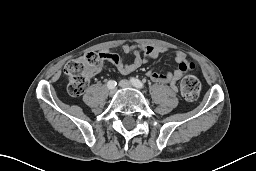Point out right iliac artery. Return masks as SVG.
I'll list each match as a JSON object with an SVG mask.
<instances>
[{"label": "right iliac artery", "mask_w": 256, "mask_h": 171, "mask_svg": "<svg viewBox=\"0 0 256 171\" xmlns=\"http://www.w3.org/2000/svg\"><path fill=\"white\" fill-rule=\"evenodd\" d=\"M116 84H117V83H116L114 80H110V81H108L107 86H108V88L110 89V88H112V87H115Z\"/></svg>", "instance_id": "1"}]
</instances>
